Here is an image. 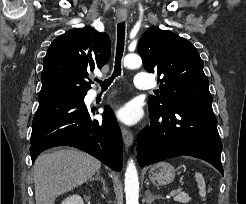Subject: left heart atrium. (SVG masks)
Segmentation results:
<instances>
[{
  "label": "left heart atrium",
  "mask_w": 246,
  "mask_h": 204,
  "mask_svg": "<svg viewBox=\"0 0 246 204\" xmlns=\"http://www.w3.org/2000/svg\"><path fill=\"white\" fill-rule=\"evenodd\" d=\"M114 116L122 123L133 125L140 119L139 109L131 103H128L114 112Z\"/></svg>",
  "instance_id": "obj_1"
}]
</instances>
